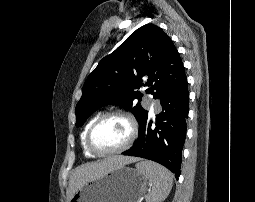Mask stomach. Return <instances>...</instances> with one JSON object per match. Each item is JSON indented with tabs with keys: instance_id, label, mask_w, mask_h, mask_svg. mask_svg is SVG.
<instances>
[{
	"instance_id": "0dacf381",
	"label": "stomach",
	"mask_w": 255,
	"mask_h": 202,
	"mask_svg": "<svg viewBox=\"0 0 255 202\" xmlns=\"http://www.w3.org/2000/svg\"><path fill=\"white\" fill-rule=\"evenodd\" d=\"M148 178L137 169L121 166L80 186L69 202H138Z\"/></svg>"
}]
</instances>
